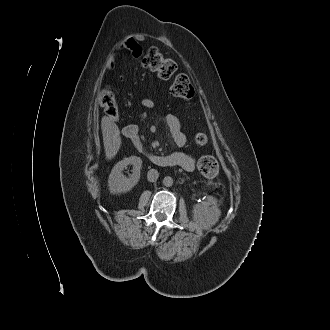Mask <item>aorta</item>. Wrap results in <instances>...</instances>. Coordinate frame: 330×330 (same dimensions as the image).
<instances>
[{"label": "aorta", "mask_w": 330, "mask_h": 330, "mask_svg": "<svg viewBox=\"0 0 330 330\" xmlns=\"http://www.w3.org/2000/svg\"><path fill=\"white\" fill-rule=\"evenodd\" d=\"M163 185L166 187H171L173 185V179L170 176H166L163 179Z\"/></svg>", "instance_id": "1"}]
</instances>
